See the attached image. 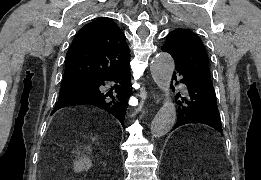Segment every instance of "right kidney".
I'll return each mask as SVG.
<instances>
[{
    "label": "right kidney",
    "mask_w": 261,
    "mask_h": 180,
    "mask_svg": "<svg viewBox=\"0 0 261 180\" xmlns=\"http://www.w3.org/2000/svg\"><path fill=\"white\" fill-rule=\"evenodd\" d=\"M87 154H89V150H87ZM92 166V160H90L89 156H79L76 162H74V170L75 172H85V170H90Z\"/></svg>",
    "instance_id": "obj_1"
}]
</instances>
